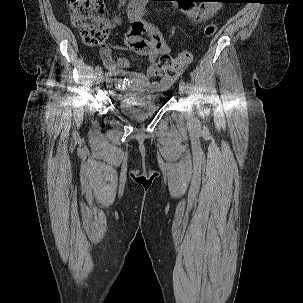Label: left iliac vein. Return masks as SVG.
<instances>
[{"label":"left iliac vein","instance_id":"4c4485c4","mask_svg":"<svg viewBox=\"0 0 303 303\" xmlns=\"http://www.w3.org/2000/svg\"><path fill=\"white\" fill-rule=\"evenodd\" d=\"M179 92H180L181 95H185L186 94V89L184 87V82L183 81L180 82Z\"/></svg>","mask_w":303,"mask_h":303}]
</instances>
